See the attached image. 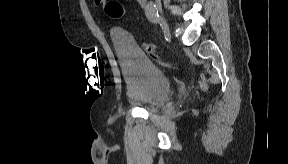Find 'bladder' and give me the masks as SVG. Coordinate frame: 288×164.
Wrapping results in <instances>:
<instances>
[{
    "label": "bladder",
    "instance_id": "bladder-1",
    "mask_svg": "<svg viewBox=\"0 0 288 164\" xmlns=\"http://www.w3.org/2000/svg\"><path fill=\"white\" fill-rule=\"evenodd\" d=\"M114 44L124 71L129 99L149 112L165 106L171 98V83L166 73L149 62L125 36L115 34Z\"/></svg>",
    "mask_w": 288,
    "mask_h": 164
}]
</instances>
